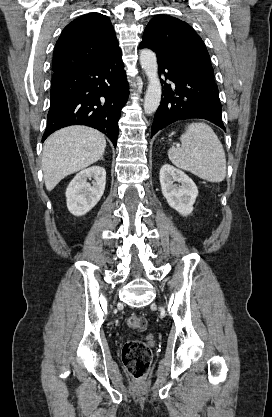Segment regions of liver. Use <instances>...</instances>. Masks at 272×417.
<instances>
[{"mask_svg": "<svg viewBox=\"0 0 272 417\" xmlns=\"http://www.w3.org/2000/svg\"><path fill=\"white\" fill-rule=\"evenodd\" d=\"M105 148L104 135L86 126H70L50 135L42 153L46 189L52 191L66 176L97 162Z\"/></svg>", "mask_w": 272, "mask_h": 417, "instance_id": "1", "label": "liver"}]
</instances>
